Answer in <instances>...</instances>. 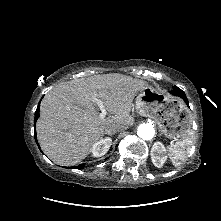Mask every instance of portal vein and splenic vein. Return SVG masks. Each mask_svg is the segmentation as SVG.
I'll list each match as a JSON object with an SVG mask.
<instances>
[{"label": "portal vein and splenic vein", "mask_w": 221, "mask_h": 221, "mask_svg": "<svg viewBox=\"0 0 221 221\" xmlns=\"http://www.w3.org/2000/svg\"><path fill=\"white\" fill-rule=\"evenodd\" d=\"M91 99L100 108L101 110L100 117L104 118L106 116V109H105L103 102L98 98V95L96 93L93 94Z\"/></svg>", "instance_id": "portal-vein-and-splenic-vein-1"}]
</instances>
